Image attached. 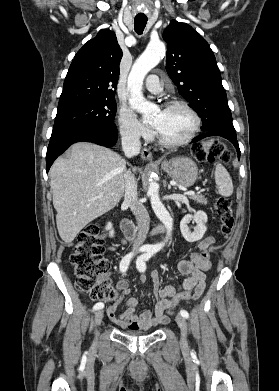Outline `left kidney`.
<instances>
[{
  "label": "left kidney",
  "mask_w": 279,
  "mask_h": 391,
  "mask_svg": "<svg viewBox=\"0 0 279 391\" xmlns=\"http://www.w3.org/2000/svg\"><path fill=\"white\" fill-rule=\"evenodd\" d=\"M207 220V215L203 211H198L194 215H185L180 222V230L184 239L191 243L202 239L207 230ZM190 221H194L196 223V227L194 228L193 232L190 231V228L188 226Z\"/></svg>",
  "instance_id": "left-kidney-1"
}]
</instances>
